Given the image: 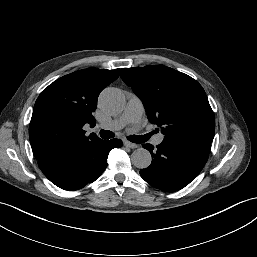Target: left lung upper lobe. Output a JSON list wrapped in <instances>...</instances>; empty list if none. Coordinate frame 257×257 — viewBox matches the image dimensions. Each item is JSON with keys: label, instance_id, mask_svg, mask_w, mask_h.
Segmentation results:
<instances>
[{"label": "left lung upper lobe", "instance_id": "5c2ea615", "mask_svg": "<svg viewBox=\"0 0 257 257\" xmlns=\"http://www.w3.org/2000/svg\"><path fill=\"white\" fill-rule=\"evenodd\" d=\"M122 80L142 100L148 119L164 139H213L215 118L201 85L163 65L122 68Z\"/></svg>", "mask_w": 257, "mask_h": 257}]
</instances>
